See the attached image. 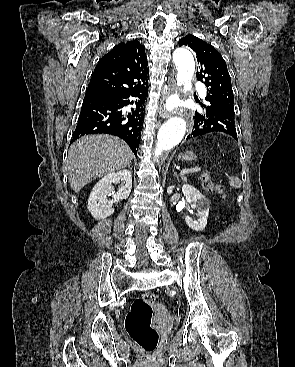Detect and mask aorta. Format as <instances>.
<instances>
[{
    "instance_id": "obj_1",
    "label": "aorta",
    "mask_w": 295,
    "mask_h": 367,
    "mask_svg": "<svg viewBox=\"0 0 295 367\" xmlns=\"http://www.w3.org/2000/svg\"><path fill=\"white\" fill-rule=\"evenodd\" d=\"M177 68V84L183 90L190 91L195 72V62L192 54L186 49H177L173 54ZM187 123L181 117H174L166 121L159 129L154 154L159 157L164 151L177 146L184 138Z\"/></svg>"
}]
</instances>
